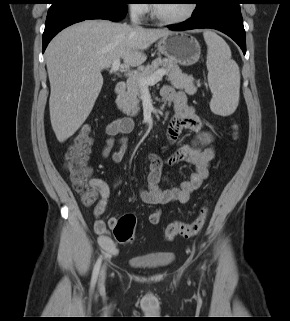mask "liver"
Here are the masks:
<instances>
[{
    "mask_svg": "<svg viewBox=\"0 0 290 321\" xmlns=\"http://www.w3.org/2000/svg\"><path fill=\"white\" fill-rule=\"evenodd\" d=\"M107 20H85L67 27L49 43L46 64L50 81V120L60 143L71 137L93 109L103 85L101 71L122 59L142 65L144 50L168 35Z\"/></svg>",
    "mask_w": 290,
    "mask_h": 321,
    "instance_id": "liver-1",
    "label": "liver"
}]
</instances>
